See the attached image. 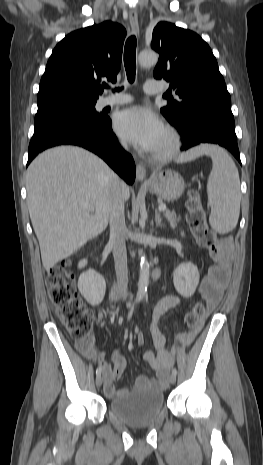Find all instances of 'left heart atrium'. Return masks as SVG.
Returning a JSON list of instances; mask_svg holds the SVG:
<instances>
[{"label": "left heart atrium", "instance_id": "1", "mask_svg": "<svg viewBox=\"0 0 263 465\" xmlns=\"http://www.w3.org/2000/svg\"><path fill=\"white\" fill-rule=\"evenodd\" d=\"M114 128L122 138L146 151H153L164 134L159 117L143 107H132L118 113Z\"/></svg>", "mask_w": 263, "mask_h": 465}]
</instances>
